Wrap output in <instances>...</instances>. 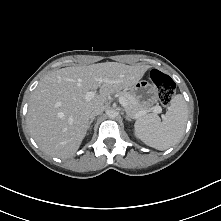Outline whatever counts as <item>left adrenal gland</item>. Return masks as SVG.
I'll return each instance as SVG.
<instances>
[{"instance_id":"obj_1","label":"left adrenal gland","mask_w":221,"mask_h":221,"mask_svg":"<svg viewBox=\"0 0 221 221\" xmlns=\"http://www.w3.org/2000/svg\"><path fill=\"white\" fill-rule=\"evenodd\" d=\"M125 118H126V120L131 121V118L128 114L125 116Z\"/></svg>"}]
</instances>
